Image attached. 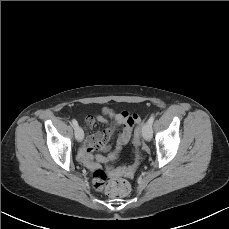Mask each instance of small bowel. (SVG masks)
Masks as SVG:
<instances>
[{
  "instance_id": "obj_1",
  "label": "small bowel",
  "mask_w": 229,
  "mask_h": 229,
  "mask_svg": "<svg viewBox=\"0 0 229 229\" xmlns=\"http://www.w3.org/2000/svg\"><path fill=\"white\" fill-rule=\"evenodd\" d=\"M111 120L113 125L121 126L122 131L118 134L115 147L109 148L108 141L114 135V128L110 127L104 131L87 135L83 138L82 145L77 152L78 160L90 169H96L100 164L108 165L114 162L122 147L127 144L131 138L133 127L140 118L136 114H131L127 111L120 113L114 112L112 109L105 107L102 109V115L96 117L88 116L85 119V124L92 127L96 122L107 123ZM108 151L107 155H93L95 150ZM111 174H115L116 170L112 166H107Z\"/></svg>"
}]
</instances>
